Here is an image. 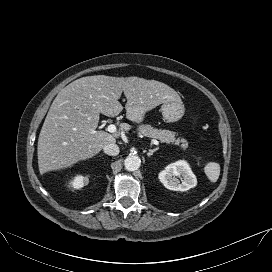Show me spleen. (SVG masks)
<instances>
[{
  "label": "spleen",
  "mask_w": 272,
  "mask_h": 272,
  "mask_svg": "<svg viewBox=\"0 0 272 272\" xmlns=\"http://www.w3.org/2000/svg\"><path fill=\"white\" fill-rule=\"evenodd\" d=\"M204 172L207 176V178L215 183L220 175V165L216 162H209L204 167Z\"/></svg>",
  "instance_id": "spleen-1"
}]
</instances>
